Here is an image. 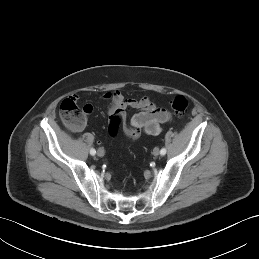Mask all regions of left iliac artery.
Listing matches in <instances>:
<instances>
[{"mask_svg":"<svg viewBox=\"0 0 259 259\" xmlns=\"http://www.w3.org/2000/svg\"><path fill=\"white\" fill-rule=\"evenodd\" d=\"M166 152H167V151H166V149H165V148H162V149L160 150V154H161V155H165V154H166Z\"/></svg>","mask_w":259,"mask_h":259,"instance_id":"44dca946","label":"left iliac artery"}]
</instances>
